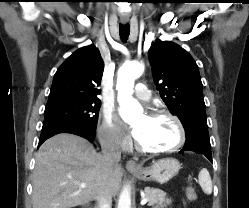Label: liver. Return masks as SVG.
<instances>
[{"instance_id": "1", "label": "liver", "mask_w": 249, "mask_h": 208, "mask_svg": "<svg viewBox=\"0 0 249 208\" xmlns=\"http://www.w3.org/2000/svg\"><path fill=\"white\" fill-rule=\"evenodd\" d=\"M33 208H71L96 200L108 191L115 196L123 176L120 165L109 173L102 155L86 139L69 133L46 140L35 156ZM79 183H85L80 188Z\"/></svg>"}]
</instances>
